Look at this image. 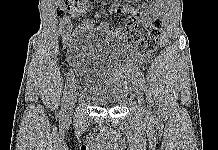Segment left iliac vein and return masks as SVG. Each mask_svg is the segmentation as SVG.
Masks as SVG:
<instances>
[{
  "mask_svg": "<svg viewBox=\"0 0 218 150\" xmlns=\"http://www.w3.org/2000/svg\"><path fill=\"white\" fill-rule=\"evenodd\" d=\"M141 90H142V88L139 91H141ZM139 91H136L135 95L137 96V100H138L139 108H140L141 112L144 115H146L148 112H147V109H146V106H145V103H144V98L142 97V95L140 94Z\"/></svg>",
  "mask_w": 218,
  "mask_h": 150,
  "instance_id": "obj_1",
  "label": "left iliac vein"
}]
</instances>
